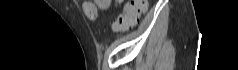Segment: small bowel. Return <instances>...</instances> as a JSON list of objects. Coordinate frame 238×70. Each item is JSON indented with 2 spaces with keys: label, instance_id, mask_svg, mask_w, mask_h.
Returning <instances> with one entry per match:
<instances>
[{
  "label": "small bowel",
  "instance_id": "small-bowel-1",
  "mask_svg": "<svg viewBox=\"0 0 238 70\" xmlns=\"http://www.w3.org/2000/svg\"><path fill=\"white\" fill-rule=\"evenodd\" d=\"M121 3V0L114 1V4L118 6ZM112 4L111 0H95V1H85L83 2V10L90 19H95L96 17L89 16L87 10L89 6H93L97 11L108 9Z\"/></svg>",
  "mask_w": 238,
  "mask_h": 70
}]
</instances>
